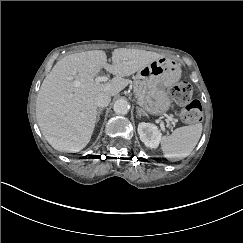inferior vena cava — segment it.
<instances>
[{"instance_id": "inferior-vena-cava-1", "label": "inferior vena cava", "mask_w": 243, "mask_h": 243, "mask_svg": "<svg viewBox=\"0 0 243 243\" xmlns=\"http://www.w3.org/2000/svg\"><path fill=\"white\" fill-rule=\"evenodd\" d=\"M111 97L107 93H99L96 95L94 102L98 107H106L109 105Z\"/></svg>"}]
</instances>
